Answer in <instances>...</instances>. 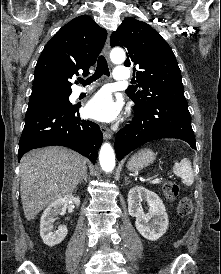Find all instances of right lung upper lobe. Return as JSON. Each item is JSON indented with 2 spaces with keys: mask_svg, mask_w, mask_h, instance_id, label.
<instances>
[{
  "mask_svg": "<svg viewBox=\"0 0 221 274\" xmlns=\"http://www.w3.org/2000/svg\"><path fill=\"white\" fill-rule=\"evenodd\" d=\"M107 32L89 16L74 18L45 45L34 73L30 100L71 94V79L89 73L106 41Z\"/></svg>",
  "mask_w": 221,
  "mask_h": 274,
  "instance_id": "1",
  "label": "right lung upper lobe"
}]
</instances>
